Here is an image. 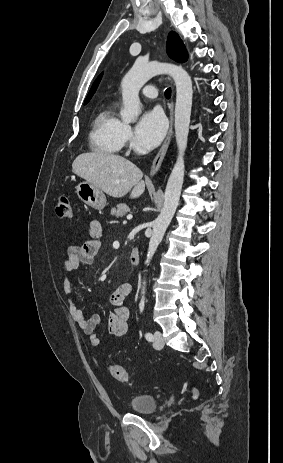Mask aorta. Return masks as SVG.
I'll use <instances>...</instances> for the list:
<instances>
[{
	"instance_id": "762f6f07",
	"label": "aorta",
	"mask_w": 283,
	"mask_h": 463,
	"mask_svg": "<svg viewBox=\"0 0 283 463\" xmlns=\"http://www.w3.org/2000/svg\"><path fill=\"white\" fill-rule=\"evenodd\" d=\"M160 74L171 76L176 85L175 137L178 157L169 176L164 195V205L160 215L153 222L152 236L149 241L147 259L149 264L155 254L165 231L177 209L184 180V153L187 147L189 124L192 108V80L180 66L157 61L143 62L137 60L121 82L123 109L121 118L125 122L135 121L141 113L139 91L152 77ZM146 282H143L141 294H145Z\"/></svg>"
}]
</instances>
